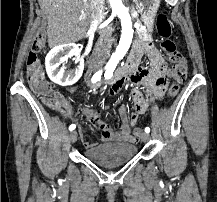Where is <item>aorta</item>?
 Instances as JSON below:
<instances>
[{
    "mask_svg": "<svg viewBox=\"0 0 217 202\" xmlns=\"http://www.w3.org/2000/svg\"><path fill=\"white\" fill-rule=\"evenodd\" d=\"M109 2L112 12H115L118 18H120L122 28L119 46H117L112 56V60L118 64L119 60L124 58L131 46L134 30L129 10L123 6L122 0H109Z\"/></svg>",
    "mask_w": 217,
    "mask_h": 202,
    "instance_id": "aorta-1",
    "label": "aorta"
}]
</instances>
